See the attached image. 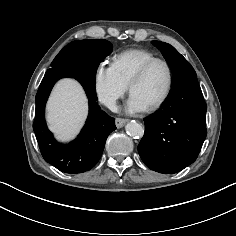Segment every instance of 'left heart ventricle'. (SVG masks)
Returning <instances> with one entry per match:
<instances>
[{"mask_svg":"<svg viewBox=\"0 0 236 236\" xmlns=\"http://www.w3.org/2000/svg\"><path fill=\"white\" fill-rule=\"evenodd\" d=\"M168 84V71L165 65L155 64L145 78L134 87L132 94L142 100L147 107L158 101Z\"/></svg>","mask_w":236,"mask_h":236,"instance_id":"left-heart-ventricle-1","label":"left heart ventricle"}]
</instances>
